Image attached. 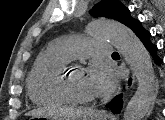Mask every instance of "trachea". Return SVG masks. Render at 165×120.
Returning a JSON list of instances; mask_svg holds the SVG:
<instances>
[{
    "mask_svg": "<svg viewBox=\"0 0 165 120\" xmlns=\"http://www.w3.org/2000/svg\"><path fill=\"white\" fill-rule=\"evenodd\" d=\"M112 55H118V53L117 52H114Z\"/></svg>",
    "mask_w": 165,
    "mask_h": 120,
    "instance_id": "3493384b",
    "label": "trachea"
}]
</instances>
